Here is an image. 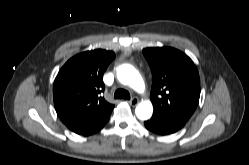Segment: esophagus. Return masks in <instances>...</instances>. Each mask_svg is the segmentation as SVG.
<instances>
[{
	"label": "esophagus",
	"instance_id": "obj_1",
	"mask_svg": "<svg viewBox=\"0 0 249 165\" xmlns=\"http://www.w3.org/2000/svg\"><path fill=\"white\" fill-rule=\"evenodd\" d=\"M128 103H129L131 106H136V105L139 103V99L136 98V97H133L131 100L128 101Z\"/></svg>",
	"mask_w": 249,
	"mask_h": 165
}]
</instances>
